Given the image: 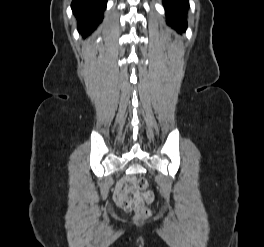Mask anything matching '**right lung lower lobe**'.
<instances>
[{
	"label": "right lung lower lobe",
	"instance_id": "98d812e1",
	"mask_svg": "<svg viewBox=\"0 0 264 247\" xmlns=\"http://www.w3.org/2000/svg\"><path fill=\"white\" fill-rule=\"evenodd\" d=\"M107 0H72L71 7L78 20V31L89 36L102 22Z\"/></svg>",
	"mask_w": 264,
	"mask_h": 247
}]
</instances>
